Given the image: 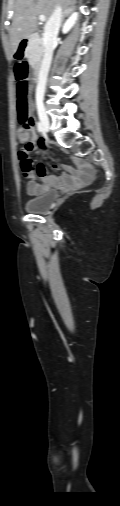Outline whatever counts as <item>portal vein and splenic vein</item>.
Wrapping results in <instances>:
<instances>
[{
	"mask_svg": "<svg viewBox=\"0 0 120 506\" xmlns=\"http://www.w3.org/2000/svg\"><path fill=\"white\" fill-rule=\"evenodd\" d=\"M39 20L41 22H44L46 20V17L44 15H39Z\"/></svg>",
	"mask_w": 120,
	"mask_h": 506,
	"instance_id": "18ae733b",
	"label": "portal vein and splenic vein"
}]
</instances>
